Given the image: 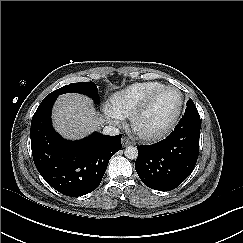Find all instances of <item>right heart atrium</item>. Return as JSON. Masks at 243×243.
Instances as JSON below:
<instances>
[{
	"instance_id": "obj_1",
	"label": "right heart atrium",
	"mask_w": 243,
	"mask_h": 243,
	"mask_svg": "<svg viewBox=\"0 0 243 243\" xmlns=\"http://www.w3.org/2000/svg\"><path fill=\"white\" fill-rule=\"evenodd\" d=\"M105 116L107 118V121L112 124V125H118L121 122V116L116 114L113 110L111 109H105Z\"/></svg>"
}]
</instances>
